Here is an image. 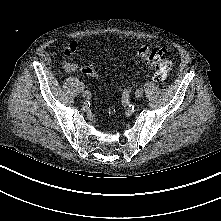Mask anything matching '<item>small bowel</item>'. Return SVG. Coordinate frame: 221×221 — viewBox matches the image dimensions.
Returning a JSON list of instances; mask_svg holds the SVG:
<instances>
[{"instance_id":"c3829d8e","label":"small bowel","mask_w":221,"mask_h":221,"mask_svg":"<svg viewBox=\"0 0 221 221\" xmlns=\"http://www.w3.org/2000/svg\"><path fill=\"white\" fill-rule=\"evenodd\" d=\"M77 50H78V44L76 42H72L65 47L64 54L65 56L69 57L72 54H74ZM63 68L67 72H74L78 69V65L72 62H65L63 64Z\"/></svg>"}]
</instances>
